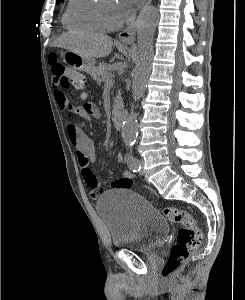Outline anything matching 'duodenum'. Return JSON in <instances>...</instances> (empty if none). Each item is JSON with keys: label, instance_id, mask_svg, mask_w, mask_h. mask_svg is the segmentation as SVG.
I'll return each mask as SVG.
<instances>
[{"label": "duodenum", "instance_id": "obj_1", "mask_svg": "<svg viewBox=\"0 0 245 300\" xmlns=\"http://www.w3.org/2000/svg\"><path fill=\"white\" fill-rule=\"evenodd\" d=\"M114 125L117 129H121L124 122V116L122 113H117L114 115Z\"/></svg>", "mask_w": 245, "mask_h": 300}]
</instances>
